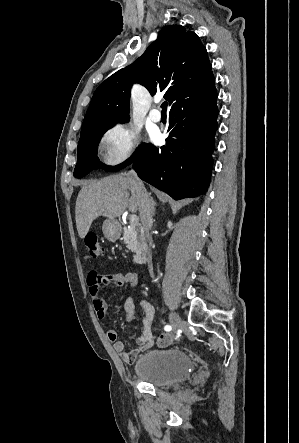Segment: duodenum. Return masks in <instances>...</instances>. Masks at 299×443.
Listing matches in <instances>:
<instances>
[{
	"label": "duodenum",
	"mask_w": 299,
	"mask_h": 443,
	"mask_svg": "<svg viewBox=\"0 0 299 443\" xmlns=\"http://www.w3.org/2000/svg\"><path fill=\"white\" fill-rule=\"evenodd\" d=\"M148 254V245L146 242H142L136 249L134 257H133V263L134 264H143L146 260Z\"/></svg>",
	"instance_id": "1"
}]
</instances>
